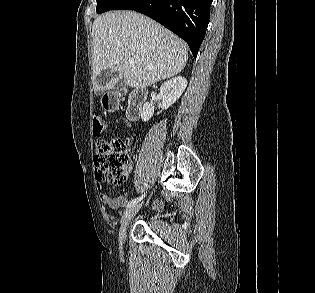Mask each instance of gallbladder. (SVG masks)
<instances>
[{"label":"gallbladder","mask_w":315,"mask_h":293,"mask_svg":"<svg viewBox=\"0 0 315 293\" xmlns=\"http://www.w3.org/2000/svg\"><path fill=\"white\" fill-rule=\"evenodd\" d=\"M98 83L101 85H108L113 81L122 82V75L119 71L103 70L98 76Z\"/></svg>","instance_id":"bac80fb5"}]
</instances>
